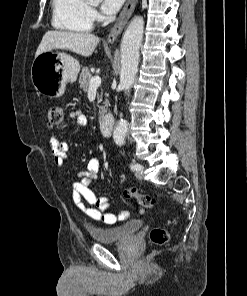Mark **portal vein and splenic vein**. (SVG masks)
I'll use <instances>...</instances> for the list:
<instances>
[{"mask_svg":"<svg viewBox=\"0 0 247 296\" xmlns=\"http://www.w3.org/2000/svg\"><path fill=\"white\" fill-rule=\"evenodd\" d=\"M101 85V78L99 75H95L90 80L89 89H97Z\"/></svg>","mask_w":247,"mask_h":296,"instance_id":"portal-vein-and-splenic-vein-1","label":"portal vein and splenic vein"}]
</instances>
